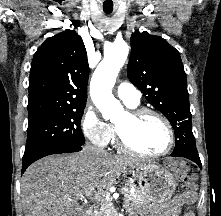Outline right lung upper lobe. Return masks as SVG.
<instances>
[{
  "label": "right lung upper lobe",
  "instance_id": "1",
  "mask_svg": "<svg viewBox=\"0 0 221 216\" xmlns=\"http://www.w3.org/2000/svg\"><path fill=\"white\" fill-rule=\"evenodd\" d=\"M89 66L82 38L65 30L34 54L29 81V118L86 105Z\"/></svg>",
  "mask_w": 221,
  "mask_h": 216
}]
</instances>
